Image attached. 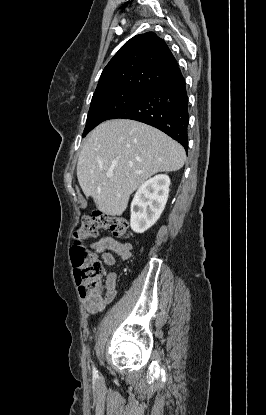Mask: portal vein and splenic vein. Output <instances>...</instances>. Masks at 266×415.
<instances>
[{"label":"portal vein and splenic vein","instance_id":"1","mask_svg":"<svg viewBox=\"0 0 266 415\" xmlns=\"http://www.w3.org/2000/svg\"><path fill=\"white\" fill-rule=\"evenodd\" d=\"M106 176H107L108 178H111V177L113 176V174H112V173H107V174H106Z\"/></svg>","mask_w":266,"mask_h":415}]
</instances>
